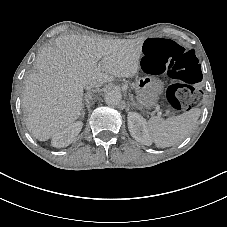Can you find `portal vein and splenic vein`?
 Here are the masks:
<instances>
[{
	"mask_svg": "<svg viewBox=\"0 0 227 227\" xmlns=\"http://www.w3.org/2000/svg\"><path fill=\"white\" fill-rule=\"evenodd\" d=\"M158 116L161 117V120H162V121H165V117H164L162 111H159V112H158Z\"/></svg>",
	"mask_w": 227,
	"mask_h": 227,
	"instance_id": "1",
	"label": "portal vein and splenic vein"
}]
</instances>
